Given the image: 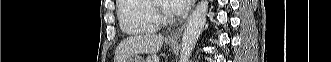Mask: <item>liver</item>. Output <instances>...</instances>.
<instances>
[{
  "label": "liver",
  "mask_w": 331,
  "mask_h": 62,
  "mask_svg": "<svg viewBox=\"0 0 331 62\" xmlns=\"http://www.w3.org/2000/svg\"><path fill=\"white\" fill-rule=\"evenodd\" d=\"M164 42V37L158 34L131 36L124 39L116 49L114 62H124L134 54L157 53Z\"/></svg>",
  "instance_id": "6515ba94"
}]
</instances>
